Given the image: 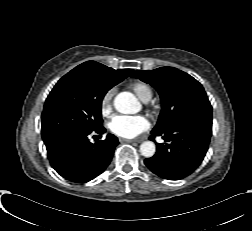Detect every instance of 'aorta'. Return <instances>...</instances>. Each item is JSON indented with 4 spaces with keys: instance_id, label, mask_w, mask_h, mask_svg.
<instances>
[{
    "instance_id": "762f6f07",
    "label": "aorta",
    "mask_w": 252,
    "mask_h": 231,
    "mask_svg": "<svg viewBox=\"0 0 252 231\" xmlns=\"http://www.w3.org/2000/svg\"><path fill=\"white\" fill-rule=\"evenodd\" d=\"M115 109L123 114H134L139 110V102L137 98L130 92H121L114 99ZM156 151V146L152 141H144L140 145L141 154L150 158L154 156Z\"/></svg>"
}]
</instances>
